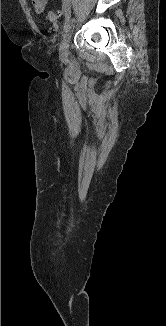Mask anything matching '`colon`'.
Here are the masks:
<instances>
[{
	"mask_svg": "<svg viewBox=\"0 0 166 326\" xmlns=\"http://www.w3.org/2000/svg\"><path fill=\"white\" fill-rule=\"evenodd\" d=\"M58 16H59L58 12L51 11L48 13V20L52 23H56Z\"/></svg>",
	"mask_w": 166,
	"mask_h": 326,
	"instance_id": "colon-1",
	"label": "colon"
}]
</instances>
